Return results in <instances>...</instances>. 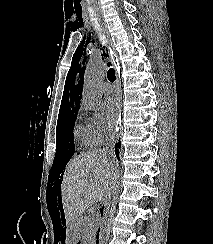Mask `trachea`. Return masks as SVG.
<instances>
[{
    "label": "trachea",
    "instance_id": "trachea-1",
    "mask_svg": "<svg viewBox=\"0 0 213 244\" xmlns=\"http://www.w3.org/2000/svg\"><path fill=\"white\" fill-rule=\"evenodd\" d=\"M107 78L109 81L114 82L116 77H115V70L113 68H110L107 72Z\"/></svg>",
    "mask_w": 213,
    "mask_h": 244
}]
</instances>
